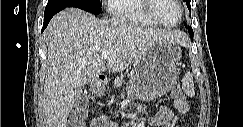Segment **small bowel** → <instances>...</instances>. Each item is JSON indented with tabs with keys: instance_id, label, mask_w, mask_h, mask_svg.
Listing matches in <instances>:
<instances>
[{
	"instance_id": "c3829d8e",
	"label": "small bowel",
	"mask_w": 243,
	"mask_h": 127,
	"mask_svg": "<svg viewBox=\"0 0 243 127\" xmlns=\"http://www.w3.org/2000/svg\"><path fill=\"white\" fill-rule=\"evenodd\" d=\"M174 108L181 114V116H186L189 112V105L185 101H180L178 99L173 100ZM173 119L172 110L166 106H160L156 117L150 122V126L152 127H165L169 126ZM114 124L108 123L106 119H96L92 122L91 127H114Z\"/></svg>"
}]
</instances>
